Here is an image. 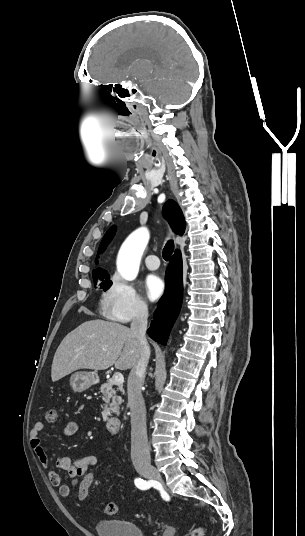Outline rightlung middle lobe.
Returning a JSON list of instances; mask_svg holds the SVG:
<instances>
[{
	"label": "right lung middle lobe",
	"instance_id": "obj_1",
	"mask_svg": "<svg viewBox=\"0 0 305 536\" xmlns=\"http://www.w3.org/2000/svg\"><path fill=\"white\" fill-rule=\"evenodd\" d=\"M94 283L95 285H98L100 289H103L104 291H106L112 285V281L109 279V277L101 278L99 280L94 279Z\"/></svg>",
	"mask_w": 305,
	"mask_h": 536
}]
</instances>
